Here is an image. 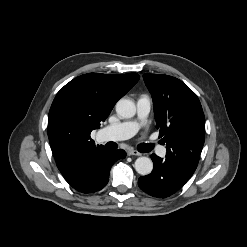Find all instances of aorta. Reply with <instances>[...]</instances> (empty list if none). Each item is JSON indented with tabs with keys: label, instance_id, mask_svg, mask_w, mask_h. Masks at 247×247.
<instances>
[{
	"label": "aorta",
	"instance_id": "obj_1",
	"mask_svg": "<svg viewBox=\"0 0 247 247\" xmlns=\"http://www.w3.org/2000/svg\"><path fill=\"white\" fill-rule=\"evenodd\" d=\"M116 112L122 118H132L136 114V106L130 99H120L116 104ZM134 168L141 175H148L152 172L153 162L148 157L136 159Z\"/></svg>",
	"mask_w": 247,
	"mask_h": 247
}]
</instances>
